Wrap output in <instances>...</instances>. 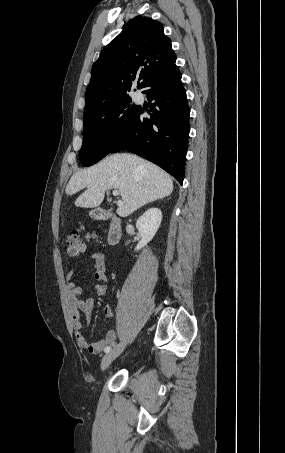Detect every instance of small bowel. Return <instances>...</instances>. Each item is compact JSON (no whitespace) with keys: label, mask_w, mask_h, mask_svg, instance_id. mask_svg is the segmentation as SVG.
Segmentation results:
<instances>
[{"label":"small bowel","mask_w":285,"mask_h":453,"mask_svg":"<svg viewBox=\"0 0 285 453\" xmlns=\"http://www.w3.org/2000/svg\"><path fill=\"white\" fill-rule=\"evenodd\" d=\"M92 261V269L94 279L97 281L95 284V292L97 296H105L108 291L107 275H106V258L105 255L99 252L93 253L90 256ZM74 271H70L67 274V288L71 296L70 301V314L72 319L73 330L75 339L78 345L91 354H98L105 350L109 345H112L117 337L116 330H108L104 336L95 343H91L87 340L82 332L83 322L81 320V313L85 316V321L88 323L91 320V315L95 307L94 297H85L83 291L78 287L72 280ZM105 317L109 318L113 315V309L111 306H105L103 309Z\"/></svg>","instance_id":"small-bowel-1"}]
</instances>
